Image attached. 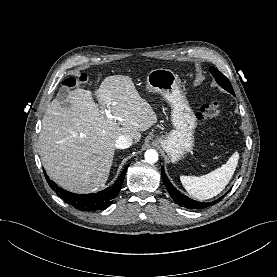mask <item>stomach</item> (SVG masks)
<instances>
[{
  "label": "stomach",
  "mask_w": 277,
  "mask_h": 277,
  "mask_svg": "<svg viewBox=\"0 0 277 277\" xmlns=\"http://www.w3.org/2000/svg\"><path fill=\"white\" fill-rule=\"evenodd\" d=\"M149 92L160 94L171 107L173 130L156 141L172 162L181 160L194 146L197 119L180 88L177 75L169 69L152 70L145 81Z\"/></svg>",
  "instance_id": "stomach-1"
}]
</instances>
